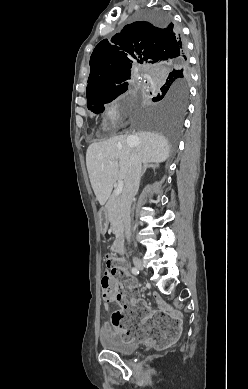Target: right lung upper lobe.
Returning <instances> with one entry per match:
<instances>
[{"instance_id":"obj_1","label":"right lung upper lobe","mask_w":248,"mask_h":389,"mask_svg":"<svg viewBox=\"0 0 248 389\" xmlns=\"http://www.w3.org/2000/svg\"><path fill=\"white\" fill-rule=\"evenodd\" d=\"M178 31L171 23L161 27L145 21L126 25L111 40L104 39L95 47L90 58L87 97L116 79L131 75L132 58L141 64L161 67L171 61L187 63L185 45L178 43ZM181 46V49L176 50Z\"/></svg>"}]
</instances>
